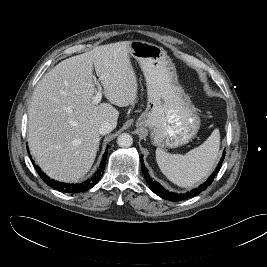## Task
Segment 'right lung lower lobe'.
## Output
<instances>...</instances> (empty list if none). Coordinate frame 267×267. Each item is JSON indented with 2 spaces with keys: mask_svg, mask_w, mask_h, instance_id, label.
<instances>
[{
  "mask_svg": "<svg viewBox=\"0 0 267 267\" xmlns=\"http://www.w3.org/2000/svg\"><path fill=\"white\" fill-rule=\"evenodd\" d=\"M106 156H107V150L105 151V153L103 155L100 169L97 171L96 175L93 178L88 179L87 181H84L82 184H66V183H60V182L54 181V180L50 179L48 176H46V174L43 173L38 166H35V168H36V171L38 172L39 176L43 179V181L45 183H47L48 186H50V187H52L58 191L66 192V193L84 192V191H87L90 188H92L100 180L102 173L105 169ZM32 162H33V160H32Z\"/></svg>",
  "mask_w": 267,
  "mask_h": 267,
  "instance_id": "1",
  "label": "right lung lower lobe"
}]
</instances>
